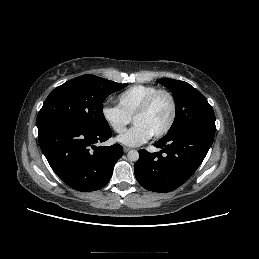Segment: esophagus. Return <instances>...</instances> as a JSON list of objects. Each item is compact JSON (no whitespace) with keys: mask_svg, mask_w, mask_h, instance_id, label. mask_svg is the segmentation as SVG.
<instances>
[{"mask_svg":"<svg viewBox=\"0 0 259 259\" xmlns=\"http://www.w3.org/2000/svg\"><path fill=\"white\" fill-rule=\"evenodd\" d=\"M123 150H124L125 153H127L128 151H130V148L129 147H124Z\"/></svg>","mask_w":259,"mask_h":259,"instance_id":"esophagus-1","label":"esophagus"}]
</instances>
